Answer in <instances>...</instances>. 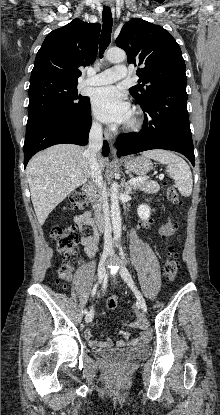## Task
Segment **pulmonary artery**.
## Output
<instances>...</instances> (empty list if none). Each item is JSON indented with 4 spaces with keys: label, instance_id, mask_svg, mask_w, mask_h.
Listing matches in <instances>:
<instances>
[{
    "label": "pulmonary artery",
    "instance_id": "obj_1",
    "mask_svg": "<svg viewBox=\"0 0 220 415\" xmlns=\"http://www.w3.org/2000/svg\"><path fill=\"white\" fill-rule=\"evenodd\" d=\"M127 76L125 65H116L113 68L104 70L92 77L86 79L85 84L91 86H101L114 83Z\"/></svg>",
    "mask_w": 220,
    "mask_h": 415
}]
</instances>
